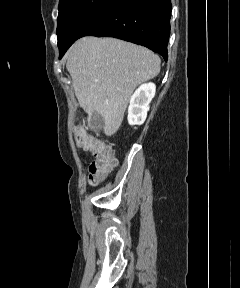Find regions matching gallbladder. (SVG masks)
Wrapping results in <instances>:
<instances>
[{
	"mask_svg": "<svg viewBox=\"0 0 240 288\" xmlns=\"http://www.w3.org/2000/svg\"><path fill=\"white\" fill-rule=\"evenodd\" d=\"M90 122H92V123L102 122V118H101L100 114L98 112L94 111L90 117Z\"/></svg>",
	"mask_w": 240,
	"mask_h": 288,
	"instance_id": "1",
	"label": "gallbladder"
}]
</instances>
